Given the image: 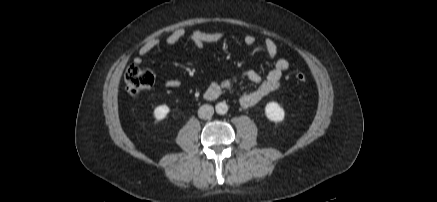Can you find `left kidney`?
I'll use <instances>...</instances> for the list:
<instances>
[{
	"label": "left kidney",
	"mask_w": 437,
	"mask_h": 202,
	"mask_svg": "<svg viewBox=\"0 0 437 202\" xmlns=\"http://www.w3.org/2000/svg\"><path fill=\"white\" fill-rule=\"evenodd\" d=\"M265 114L267 118L274 122H280L284 120V109L276 102H269L265 106Z\"/></svg>",
	"instance_id": "5707ae66"
}]
</instances>
